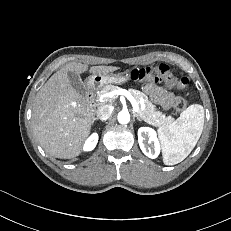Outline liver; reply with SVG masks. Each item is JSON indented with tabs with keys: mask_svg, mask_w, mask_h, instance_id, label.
Listing matches in <instances>:
<instances>
[{
	"mask_svg": "<svg viewBox=\"0 0 231 231\" xmlns=\"http://www.w3.org/2000/svg\"><path fill=\"white\" fill-rule=\"evenodd\" d=\"M115 66H92V74H107ZM87 64L72 62L54 73L37 92L32 108L33 131L50 155L60 159L79 156L91 131L95 109L72 87L68 72L80 74Z\"/></svg>",
	"mask_w": 231,
	"mask_h": 231,
	"instance_id": "liver-1",
	"label": "liver"
}]
</instances>
